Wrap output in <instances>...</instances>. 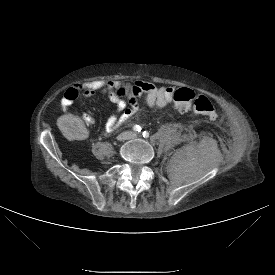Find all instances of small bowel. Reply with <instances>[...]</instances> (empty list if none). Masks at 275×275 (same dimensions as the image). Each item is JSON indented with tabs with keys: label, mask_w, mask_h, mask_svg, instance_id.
Returning <instances> with one entry per match:
<instances>
[{
	"label": "small bowel",
	"mask_w": 275,
	"mask_h": 275,
	"mask_svg": "<svg viewBox=\"0 0 275 275\" xmlns=\"http://www.w3.org/2000/svg\"><path fill=\"white\" fill-rule=\"evenodd\" d=\"M133 88H138L143 94V104L154 110L162 109L173 101L175 88L173 86H157L147 81H137L134 86L115 80H93L79 83L69 88L63 98L64 107L70 105L80 95L89 96L101 93L107 96L109 104L115 108V112L108 119L105 129L112 132L128 121L136 111V105L127 107L126 102L118 94L121 89L131 93ZM94 121L93 113L85 111L82 117L77 112L63 113L58 117L57 128L67 142H74L77 138L84 139L87 136V124Z\"/></svg>",
	"instance_id": "c3829d8e"
}]
</instances>
